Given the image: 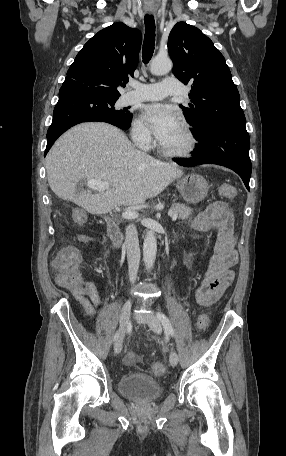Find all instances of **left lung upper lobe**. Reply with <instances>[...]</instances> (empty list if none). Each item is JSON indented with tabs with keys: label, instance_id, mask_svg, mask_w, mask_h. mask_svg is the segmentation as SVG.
<instances>
[{
	"label": "left lung upper lobe",
	"instance_id": "left-lung-upper-lobe-1",
	"mask_svg": "<svg viewBox=\"0 0 286 456\" xmlns=\"http://www.w3.org/2000/svg\"><path fill=\"white\" fill-rule=\"evenodd\" d=\"M173 73L191 84V103L182 106L197 136L207 128L228 124L245 128L240 96L223 55L198 28L177 23L168 38Z\"/></svg>",
	"mask_w": 286,
	"mask_h": 456
}]
</instances>
